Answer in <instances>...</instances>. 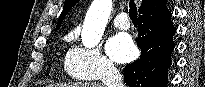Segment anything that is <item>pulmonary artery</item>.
<instances>
[{
  "mask_svg": "<svg viewBox=\"0 0 205 87\" xmlns=\"http://www.w3.org/2000/svg\"><path fill=\"white\" fill-rule=\"evenodd\" d=\"M113 24L117 29L127 30L130 27L128 16L126 13H119L113 20Z\"/></svg>",
  "mask_w": 205,
  "mask_h": 87,
  "instance_id": "obj_1",
  "label": "pulmonary artery"
}]
</instances>
